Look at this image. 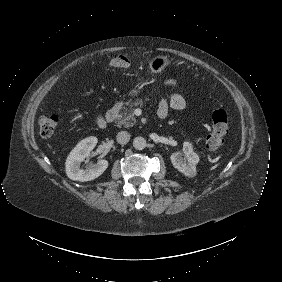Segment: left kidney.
<instances>
[{"label":"left kidney","mask_w":282,"mask_h":282,"mask_svg":"<svg viewBox=\"0 0 282 282\" xmlns=\"http://www.w3.org/2000/svg\"><path fill=\"white\" fill-rule=\"evenodd\" d=\"M171 161L174 167L185 176H195V166L199 161V157L193 152L192 144L185 142L181 151L175 152L171 155Z\"/></svg>","instance_id":"1"}]
</instances>
